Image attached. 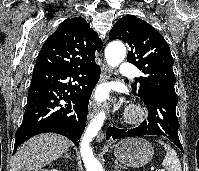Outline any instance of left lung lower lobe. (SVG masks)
Instances as JSON below:
<instances>
[{
  "instance_id": "1",
  "label": "left lung lower lobe",
  "mask_w": 199,
  "mask_h": 171,
  "mask_svg": "<svg viewBox=\"0 0 199 171\" xmlns=\"http://www.w3.org/2000/svg\"><path fill=\"white\" fill-rule=\"evenodd\" d=\"M133 93L136 92L133 91ZM138 95L147 106L149 112L147 121H144L139 127L129 130L110 126L106 139L142 135L165 136L183 151L178 136L179 121L175 110L178 100L158 93H138Z\"/></svg>"
}]
</instances>
